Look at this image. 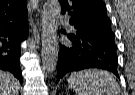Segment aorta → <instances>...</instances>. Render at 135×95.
<instances>
[{"label":"aorta","mask_w":135,"mask_h":95,"mask_svg":"<svg viewBox=\"0 0 135 95\" xmlns=\"http://www.w3.org/2000/svg\"><path fill=\"white\" fill-rule=\"evenodd\" d=\"M61 13L58 0H47L42 12V63L43 69L52 73L58 61L57 28Z\"/></svg>","instance_id":"obj_1"}]
</instances>
